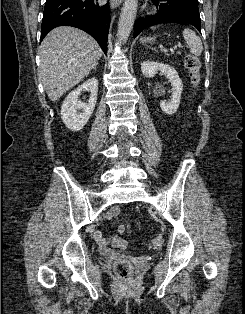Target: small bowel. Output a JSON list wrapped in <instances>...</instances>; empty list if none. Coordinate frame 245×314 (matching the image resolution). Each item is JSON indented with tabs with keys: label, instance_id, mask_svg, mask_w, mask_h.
Here are the masks:
<instances>
[{
	"label": "small bowel",
	"instance_id": "small-bowel-1",
	"mask_svg": "<svg viewBox=\"0 0 245 314\" xmlns=\"http://www.w3.org/2000/svg\"><path fill=\"white\" fill-rule=\"evenodd\" d=\"M119 213V208L118 207H112L110 211H108L105 215V218L107 220L113 219L117 214ZM118 231L123 232L124 230L122 229V225L118 226ZM94 238L97 241V243L100 246H108V245H113L116 247H123L126 243L125 239L120 237L119 235H112L108 238L104 237L103 234L100 231H95L94 232Z\"/></svg>",
	"mask_w": 245,
	"mask_h": 314
}]
</instances>
